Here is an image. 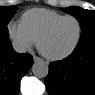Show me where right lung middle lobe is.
I'll return each mask as SVG.
<instances>
[{
	"mask_svg": "<svg viewBox=\"0 0 95 95\" xmlns=\"http://www.w3.org/2000/svg\"><path fill=\"white\" fill-rule=\"evenodd\" d=\"M17 11L15 6H1L0 7V37L9 38L7 24L12 19Z\"/></svg>",
	"mask_w": 95,
	"mask_h": 95,
	"instance_id": "dd1d6c3e",
	"label": "right lung middle lobe"
}]
</instances>
